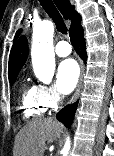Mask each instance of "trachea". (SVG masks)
Returning a JSON list of instances; mask_svg holds the SVG:
<instances>
[{
  "label": "trachea",
  "mask_w": 114,
  "mask_h": 156,
  "mask_svg": "<svg viewBox=\"0 0 114 156\" xmlns=\"http://www.w3.org/2000/svg\"><path fill=\"white\" fill-rule=\"evenodd\" d=\"M41 6L45 10V12L49 15V17L54 21L57 30L63 34H68V29L66 27V24L60 15L59 11L53 4L52 0H39Z\"/></svg>",
  "instance_id": "1"
}]
</instances>
